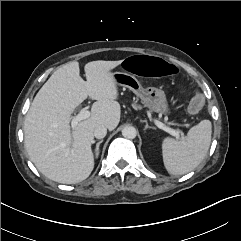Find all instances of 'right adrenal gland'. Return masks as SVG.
<instances>
[{"label": "right adrenal gland", "mask_w": 241, "mask_h": 241, "mask_svg": "<svg viewBox=\"0 0 241 241\" xmlns=\"http://www.w3.org/2000/svg\"><path fill=\"white\" fill-rule=\"evenodd\" d=\"M103 142V140H100L99 142L96 143V148H95V156L96 158H98L100 150H99V146L100 144Z\"/></svg>", "instance_id": "1"}]
</instances>
